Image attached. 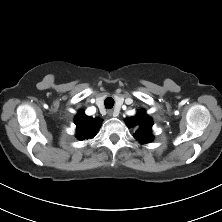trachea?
<instances>
[{
	"label": "trachea",
	"mask_w": 222,
	"mask_h": 222,
	"mask_svg": "<svg viewBox=\"0 0 222 222\" xmlns=\"http://www.w3.org/2000/svg\"><path fill=\"white\" fill-rule=\"evenodd\" d=\"M104 104L106 108H112L114 106V99L111 97H108L105 99Z\"/></svg>",
	"instance_id": "trachea-1"
}]
</instances>
